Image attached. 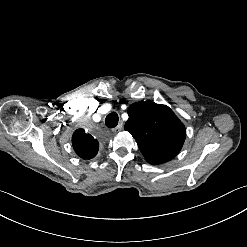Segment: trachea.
I'll list each match as a JSON object with an SVG mask.
<instances>
[{
	"label": "trachea",
	"instance_id": "trachea-1",
	"mask_svg": "<svg viewBox=\"0 0 247 247\" xmlns=\"http://www.w3.org/2000/svg\"><path fill=\"white\" fill-rule=\"evenodd\" d=\"M119 121L118 115L116 113H110L105 120L106 126L109 128H114L117 126Z\"/></svg>",
	"mask_w": 247,
	"mask_h": 247
}]
</instances>
